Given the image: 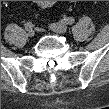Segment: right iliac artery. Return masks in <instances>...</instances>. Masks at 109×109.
<instances>
[{
    "label": "right iliac artery",
    "mask_w": 109,
    "mask_h": 109,
    "mask_svg": "<svg viewBox=\"0 0 109 109\" xmlns=\"http://www.w3.org/2000/svg\"><path fill=\"white\" fill-rule=\"evenodd\" d=\"M32 27H33V24H32V22H30V21H28V22L25 24V29H26V30L32 29Z\"/></svg>",
    "instance_id": "82829eb1"
}]
</instances>
